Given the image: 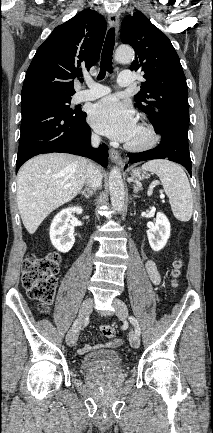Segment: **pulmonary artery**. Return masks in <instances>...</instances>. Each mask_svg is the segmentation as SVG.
<instances>
[{
  "instance_id": "obj_1",
  "label": "pulmonary artery",
  "mask_w": 213,
  "mask_h": 433,
  "mask_svg": "<svg viewBox=\"0 0 213 433\" xmlns=\"http://www.w3.org/2000/svg\"><path fill=\"white\" fill-rule=\"evenodd\" d=\"M133 82L132 73L130 71H122L118 77V85L121 87L130 86ZM87 89L81 90L76 94V100L78 102L95 100L102 96L107 95L110 92L109 87L104 86L100 83L92 80H87Z\"/></svg>"
}]
</instances>
